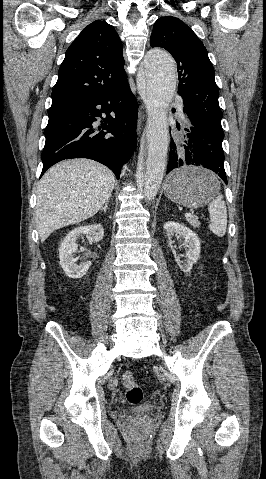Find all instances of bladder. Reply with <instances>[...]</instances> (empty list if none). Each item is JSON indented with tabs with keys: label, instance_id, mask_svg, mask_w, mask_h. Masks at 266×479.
Here are the masks:
<instances>
[{
	"label": "bladder",
	"instance_id": "obj_1",
	"mask_svg": "<svg viewBox=\"0 0 266 479\" xmlns=\"http://www.w3.org/2000/svg\"><path fill=\"white\" fill-rule=\"evenodd\" d=\"M153 411L154 405L151 403L136 404V406L131 409V412L136 415H146L152 413Z\"/></svg>",
	"mask_w": 266,
	"mask_h": 479
}]
</instances>
